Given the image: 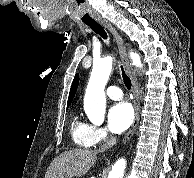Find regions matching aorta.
<instances>
[{"mask_svg": "<svg viewBox=\"0 0 194 178\" xmlns=\"http://www.w3.org/2000/svg\"><path fill=\"white\" fill-rule=\"evenodd\" d=\"M133 65L141 68L142 63L137 53H130ZM113 59L107 56L93 65L91 76L84 97V110L89 120L94 124H101L105 117L106 96L105 85L112 70ZM126 160L121 158L115 162L108 178H123Z\"/></svg>", "mask_w": 194, "mask_h": 178, "instance_id": "aorta-1", "label": "aorta"}]
</instances>
